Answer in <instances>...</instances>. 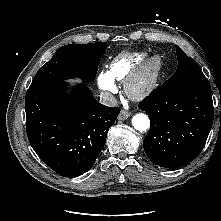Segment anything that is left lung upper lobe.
<instances>
[{
  "label": "left lung upper lobe",
  "instance_id": "left-lung-upper-lobe-1",
  "mask_svg": "<svg viewBox=\"0 0 221 221\" xmlns=\"http://www.w3.org/2000/svg\"><path fill=\"white\" fill-rule=\"evenodd\" d=\"M176 53L178 59L177 71L164 83V85H210L209 81L192 58L188 57L178 46H176Z\"/></svg>",
  "mask_w": 221,
  "mask_h": 221
}]
</instances>
